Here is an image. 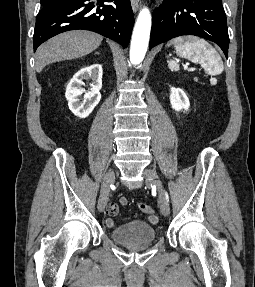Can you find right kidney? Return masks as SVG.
I'll use <instances>...</instances> for the list:
<instances>
[{
    "instance_id": "right-kidney-1",
    "label": "right kidney",
    "mask_w": 255,
    "mask_h": 287,
    "mask_svg": "<svg viewBox=\"0 0 255 287\" xmlns=\"http://www.w3.org/2000/svg\"><path fill=\"white\" fill-rule=\"evenodd\" d=\"M102 66L101 64H92V66H84L79 72L74 74L66 88V98L68 106L78 118H87L94 110L95 106L101 100L99 90L102 88ZM83 80H93L91 92H86L81 88L84 84ZM84 94L83 102L79 98Z\"/></svg>"
}]
</instances>
